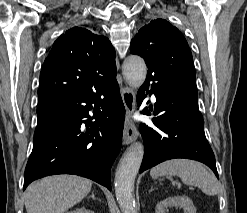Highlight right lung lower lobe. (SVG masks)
<instances>
[{
	"label": "right lung lower lobe",
	"instance_id": "98d812e1",
	"mask_svg": "<svg viewBox=\"0 0 247 213\" xmlns=\"http://www.w3.org/2000/svg\"><path fill=\"white\" fill-rule=\"evenodd\" d=\"M37 116L23 190L54 174L87 177L111 190L110 171L121 149L125 118L116 77L94 89L38 103Z\"/></svg>",
	"mask_w": 247,
	"mask_h": 213
}]
</instances>
